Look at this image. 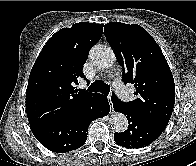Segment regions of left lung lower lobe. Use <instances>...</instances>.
<instances>
[{
    "label": "left lung lower lobe",
    "mask_w": 196,
    "mask_h": 166,
    "mask_svg": "<svg viewBox=\"0 0 196 166\" xmlns=\"http://www.w3.org/2000/svg\"><path fill=\"white\" fill-rule=\"evenodd\" d=\"M112 102L115 111L123 113L129 123L126 131L114 134V141L118 145L126 148L144 147L155 141L165 130L166 126L143 119L114 100H112Z\"/></svg>",
    "instance_id": "0a47b994"
}]
</instances>
